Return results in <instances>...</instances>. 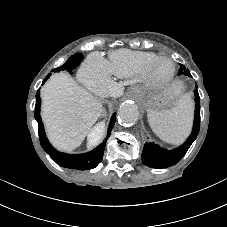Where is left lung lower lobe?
<instances>
[{"mask_svg":"<svg viewBox=\"0 0 227 227\" xmlns=\"http://www.w3.org/2000/svg\"><path fill=\"white\" fill-rule=\"evenodd\" d=\"M197 88V85H196ZM195 95V116L193 131L186 142L180 147L174 150H166L154 144L153 142H147L144 144L142 161L146 166L152 168H167L178 163L185 155L193 141L196 139L200 129V104L199 94L197 89L194 91Z\"/></svg>","mask_w":227,"mask_h":227,"instance_id":"obj_1","label":"left lung lower lobe"}]
</instances>
